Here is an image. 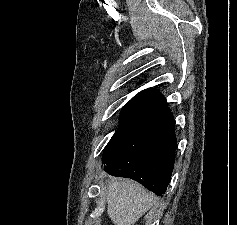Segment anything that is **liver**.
Listing matches in <instances>:
<instances>
[{
    "instance_id": "liver-1",
    "label": "liver",
    "mask_w": 237,
    "mask_h": 225,
    "mask_svg": "<svg viewBox=\"0 0 237 225\" xmlns=\"http://www.w3.org/2000/svg\"><path fill=\"white\" fill-rule=\"evenodd\" d=\"M106 199L114 225H134L155 202L151 192L129 179L107 180Z\"/></svg>"
}]
</instances>
